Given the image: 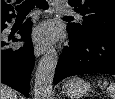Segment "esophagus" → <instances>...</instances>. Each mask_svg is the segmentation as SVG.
Returning a JSON list of instances; mask_svg holds the SVG:
<instances>
[{"label": "esophagus", "instance_id": "34e87169", "mask_svg": "<svg viewBox=\"0 0 115 99\" xmlns=\"http://www.w3.org/2000/svg\"><path fill=\"white\" fill-rule=\"evenodd\" d=\"M45 50H46L45 46L36 45L34 48L35 56L39 57L40 55H42L45 52Z\"/></svg>", "mask_w": 115, "mask_h": 99}]
</instances>
